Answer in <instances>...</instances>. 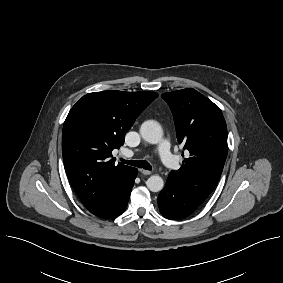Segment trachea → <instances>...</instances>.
<instances>
[{
  "label": "trachea",
  "instance_id": "trachea-1",
  "mask_svg": "<svg viewBox=\"0 0 283 283\" xmlns=\"http://www.w3.org/2000/svg\"><path fill=\"white\" fill-rule=\"evenodd\" d=\"M120 161L125 163V164L135 166V167H138V168H144L146 170L152 169L151 165L146 160L136 161V160H125V159L121 158Z\"/></svg>",
  "mask_w": 283,
  "mask_h": 283
}]
</instances>
